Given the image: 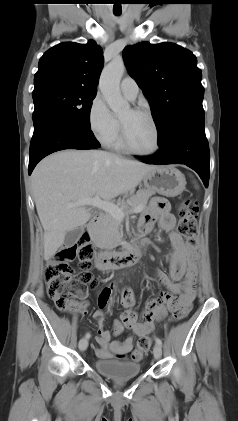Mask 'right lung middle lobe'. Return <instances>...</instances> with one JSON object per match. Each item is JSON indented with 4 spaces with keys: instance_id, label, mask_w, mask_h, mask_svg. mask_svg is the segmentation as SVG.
I'll list each match as a JSON object with an SVG mask.
<instances>
[{
    "instance_id": "obj_1",
    "label": "right lung middle lobe",
    "mask_w": 238,
    "mask_h": 421,
    "mask_svg": "<svg viewBox=\"0 0 238 421\" xmlns=\"http://www.w3.org/2000/svg\"><path fill=\"white\" fill-rule=\"evenodd\" d=\"M32 96L35 105L33 123L43 114L50 113L65 119L89 134H93L90 128V109L96 91L60 84H44L34 87Z\"/></svg>"
}]
</instances>
